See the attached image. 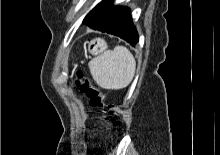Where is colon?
I'll return each instance as SVG.
<instances>
[{"label":"colon","mask_w":220,"mask_h":155,"mask_svg":"<svg viewBox=\"0 0 220 155\" xmlns=\"http://www.w3.org/2000/svg\"><path fill=\"white\" fill-rule=\"evenodd\" d=\"M76 86L81 92L86 94L92 107H105L104 95L100 88L92 84L89 79L85 78L81 71L76 73Z\"/></svg>","instance_id":"1"}]
</instances>
